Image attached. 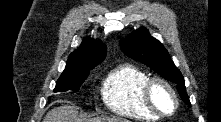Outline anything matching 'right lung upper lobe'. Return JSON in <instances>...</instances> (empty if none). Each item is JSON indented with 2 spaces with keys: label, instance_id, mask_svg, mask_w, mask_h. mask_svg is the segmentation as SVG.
I'll return each mask as SVG.
<instances>
[{
  "label": "right lung upper lobe",
  "instance_id": "cb5924a9",
  "mask_svg": "<svg viewBox=\"0 0 221 122\" xmlns=\"http://www.w3.org/2000/svg\"><path fill=\"white\" fill-rule=\"evenodd\" d=\"M106 46L99 41L85 39L81 46L70 54L64 73H77L90 70L103 61Z\"/></svg>",
  "mask_w": 221,
  "mask_h": 122
}]
</instances>
